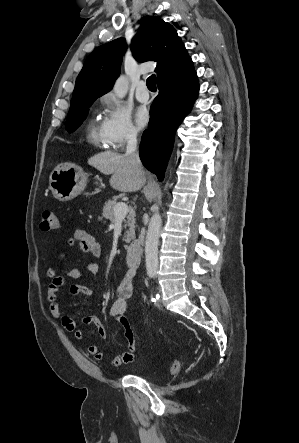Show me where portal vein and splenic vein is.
I'll list each match as a JSON object with an SVG mask.
<instances>
[{
  "label": "portal vein and splenic vein",
  "mask_w": 299,
  "mask_h": 443,
  "mask_svg": "<svg viewBox=\"0 0 299 443\" xmlns=\"http://www.w3.org/2000/svg\"><path fill=\"white\" fill-rule=\"evenodd\" d=\"M129 209L127 204L121 202L117 203V205L114 208V215L116 217V220H122L127 215Z\"/></svg>",
  "instance_id": "portal-vein-and-splenic-vein-1"
}]
</instances>
